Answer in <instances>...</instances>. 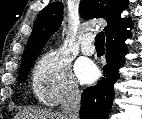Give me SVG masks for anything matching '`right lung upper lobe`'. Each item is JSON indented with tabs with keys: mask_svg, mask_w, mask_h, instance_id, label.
I'll return each instance as SVG.
<instances>
[{
	"mask_svg": "<svg viewBox=\"0 0 142 119\" xmlns=\"http://www.w3.org/2000/svg\"><path fill=\"white\" fill-rule=\"evenodd\" d=\"M128 0H82L80 14L85 19L104 18L107 26L104 28L106 41L119 38L128 33L131 27L130 18L120 17L127 7ZM63 17V5L53 2L38 15L30 39L23 53L21 66L37 58L48 38L58 30Z\"/></svg>",
	"mask_w": 142,
	"mask_h": 119,
	"instance_id": "obj_1",
	"label": "right lung upper lobe"
}]
</instances>
